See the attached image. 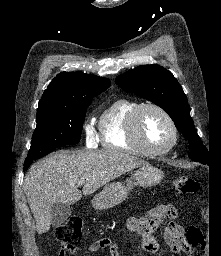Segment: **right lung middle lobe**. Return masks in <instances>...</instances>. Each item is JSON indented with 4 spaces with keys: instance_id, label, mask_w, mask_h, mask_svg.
Masks as SVG:
<instances>
[{
    "instance_id": "dd1d6c3e",
    "label": "right lung middle lobe",
    "mask_w": 221,
    "mask_h": 256,
    "mask_svg": "<svg viewBox=\"0 0 221 256\" xmlns=\"http://www.w3.org/2000/svg\"><path fill=\"white\" fill-rule=\"evenodd\" d=\"M91 101L92 98H84L74 108L37 112V128L33 133L24 170L29 168L33 160L57 147L74 145L80 141L86 108Z\"/></svg>"
}]
</instances>
